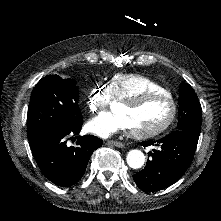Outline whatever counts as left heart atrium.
Here are the masks:
<instances>
[{
	"label": "left heart atrium",
	"mask_w": 221,
	"mask_h": 221,
	"mask_svg": "<svg viewBox=\"0 0 221 221\" xmlns=\"http://www.w3.org/2000/svg\"><path fill=\"white\" fill-rule=\"evenodd\" d=\"M131 125V116L126 111H105L98 118L88 123L92 133L110 137L119 130H126Z\"/></svg>",
	"instance_id": "1"
}]
</instances>
